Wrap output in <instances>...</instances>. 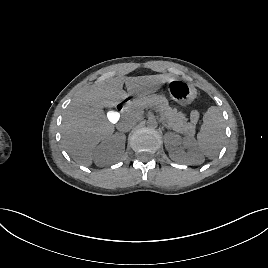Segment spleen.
Segmentation results:
<instances>
[{
  "mask_svg": "<svg viewBox=\"0 0 268 268\" xmlns=\"http://www.w3.org/2000/svg\"><path fill=\"white\" fill-rule=\"evenodd\" d=\"M225 140V120L221 109L211 106L203 116V124L197 134V146L206 157L215 158Z\"/></svg>",
  "mask_w": 268,
  "mask_h": 268,
  "instance_id": "obj_1",
  "label": "spleen"
}]
</instances>
